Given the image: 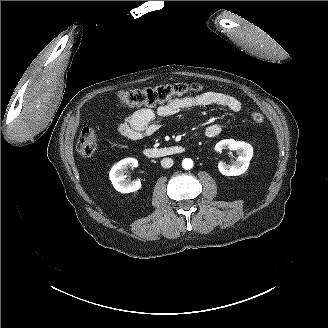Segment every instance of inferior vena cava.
I'll list each match as a JSON object with an SVG mask.
<instances>
[{"instance_id":"602c4592","label":"inferior vena cava","mask_w":328,"mask_h":328,"mask_svg":"<svg viewBox=\"0 0 328 328\" xmlns=\"http://www.w3.org/2000/svg\"><path fill=\"white\" fill-rule=\"evenodd\" d=\"M161 165L163 168H170L173 166V159L171 158H163L161 160Z\"/></svg>"}]
</instances>
